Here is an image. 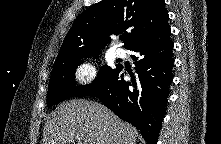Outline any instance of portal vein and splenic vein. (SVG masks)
<instances>
[{"label": "portal vein and splenic vein", "mask_w": 221, "mask_h": 144, "mask_svg": "<svg viewBox=\"0 0 221 144\" xmlns=\"http://www.w3.org/2000/svg\"><path fill=\"white\" fill-rule=\"evenodd\" d=\"M79 144H83V142L80 141Z\"/></svg>", "instance_id": "1"}]
</instances>
